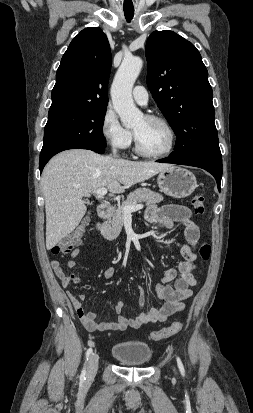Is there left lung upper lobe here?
Segmentation results:
<instances>
[{"instance_id":"5c2ea615","label":"left lung upper lobe","mask_w":253,"mask_h":413,"mask_svg":"<svg viewBox=\"0 0 253 413\" xmlns=\"http://www.w3.org/2000/svg\"><path fill=\"white\" fill-rule=\"evenodd\" d=\"M147 85L177 140L172 156L221 155L208 71L196 47L175 32L146 42Z\"/></svg>"}]
</instances>
